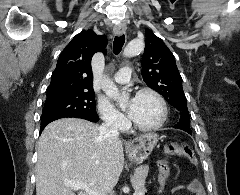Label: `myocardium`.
<instances>
[{
	"label": "myocardium",
	"mask_w": 240,
	"mask_h": 195,
	"mask_svg": "<svg viewBox=\"0 0 240 195\" xmlns=\"http://www.w3.org/2000/svg\"><path fill=\"white\" fill-rule=\"evenodd\" d=\"M144 94H150L153 97H155L156 100L158 101L160 106V116L158 120L153 124H150L147 126H141L133 122L130 116H128L126 117V127L132 130H135L137 132L148 133V132L156 131L163 126V124L167 119L168 109H167V104L164 97L159 92L151 88H142L136 93V97Z\"/></svg>",
	"instance_id": "myocardium-1"
}]
</instances>
